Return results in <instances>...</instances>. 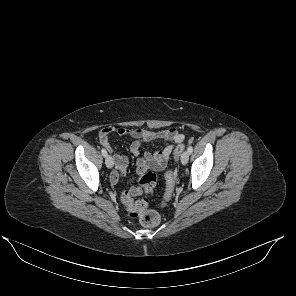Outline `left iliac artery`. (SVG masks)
<instances>
[{"instance_id": "1", "label": "left iliac artery", "mask_w": 296, "mask_h": 296, "mask_svg": "<svg viewBox=\"0 0 296 296\" xmlns=\"http://www.w3.org/2000/svg\"><path fill=\"white\" fill-rule=\"evenodd\" d=\"M187 150H188L189 154H191L193 151V147L190 145V146H188Z\"/></svg>"}]
</instances>
